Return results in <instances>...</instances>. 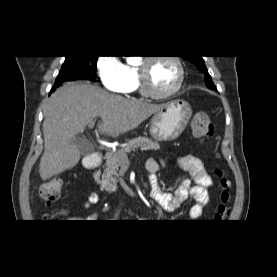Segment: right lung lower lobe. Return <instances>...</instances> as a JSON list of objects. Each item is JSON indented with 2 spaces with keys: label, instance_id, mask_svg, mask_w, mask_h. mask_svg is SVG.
<instances>
[{
  "label": "right lung lower lobe",
  "instance_id": "1",
  "mask_svg": "<svg viewBox=\"0 0 277 277\" xmlns=\"http://www.w3.org/2000/svg\"><path fill=\"white\" fill-rule=\"evenodd\" d=\"M72 79H84V78L81 76H78V74L60 75L56 79L54 87L52 88L51 92H53L55 88L59 87L65 81L72 80Z\"/></svg>",
  "mask_w": 277,
  "mask_h": 277
}]
</instances>
